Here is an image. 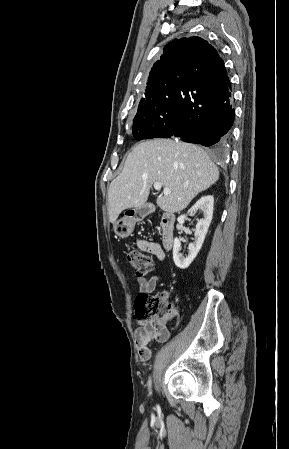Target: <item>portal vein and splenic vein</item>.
Listing matches in <instances>:
<instances>
[{"mask_svg": "<svg viewBox=\"0 0 289 449\" xmlns=\"http://www.w3.org/2000/svg\"><path fill=\"white\" fill-rule=\"evenodd\" d=\"M161 187H162V184L160 182H155L154 183L155 190H160ZM163 192H164V194H170L171 190L169 188H164Z\"/></svg>", "mask_w": 289, "mask_h": 449, "instance_id": "obj_1", "label": "portal vein and splenic vein"}]
</instances>
